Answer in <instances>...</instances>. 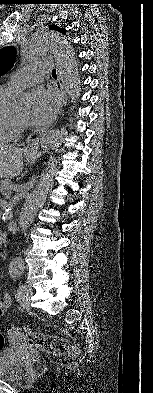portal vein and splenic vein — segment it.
Returning <instances> with one entry per match:
<instances>
[{"instance_id": "18ae733b", "label": "portal vein and splenic vein", "mask_w": 153, "mask_h": 393, "mask_svg": "<svg viewBox=\"0 0 153 393\" xmlns=\"http://www.w3.org/2000/svg\"><path fill=\"white\" fill-rule=\"evenodd\" d=\"M5 196H6V198H10L11 193H7V194H5Z\"/></svg>"}]
</instances>
